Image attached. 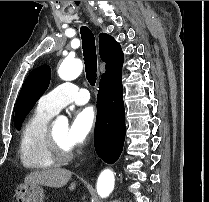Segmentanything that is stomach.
I'll return each mask as SVG.
<instances>
[{
  "instance_id": "1",
  "label": "stomach",
  "mask_w": 209,
  "mask_h": 202,
  "mask_svg": "<svg viewBox=\"0 0 209 202\" xmlns=\"http://www.w3.org/2000/svg\"><path fill=\"white\" fill-rule=\"evenodd\" d=\"M17 202H43L44 191L38 184H20L15 192Z\"/></svg>"
}]
</instances>
